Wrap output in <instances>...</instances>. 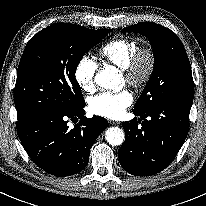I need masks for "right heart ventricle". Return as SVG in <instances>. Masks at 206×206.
I'll list each match as a JSON object with an SVG mask.
<instances>
[{"label":"right heart ventricle","mask_w":206,"mask_h":206,"mask_svg":"<svg viewBox=\"0 0 206 206\" xmlns=\"http://www.w3.org/2000/svg\"><path fill=\"white\" fill-rule=\"evenodd\" d=\"M138 47L139 42L136 39L118 37L105 43L99 49V55L105 62L123 70Z\"/></svg>","instance_id":"1"}]
</instances>
